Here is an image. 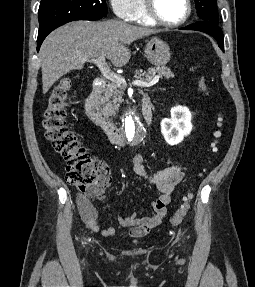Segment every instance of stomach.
<instances>
[{
  "mask_svg": "<svg viewBox=\"0 0 255 287\" xmlns=\"http://www.w3.org/2000/svg\"><path fill=\"white\" fill-rule=\"evenodd\" d=\"M145 58L153 66H166L171 58L169 44L159 38H151L145 46Z\"/></svg>",
  "mask_w": 255,
  "mask_h": 287,
  "instance_id": "stomach-1",
  "label": "stomach"
}]
</instances>
